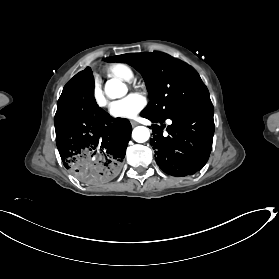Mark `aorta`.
<instances>
[{
  "label": "aorta",
  "instance_id": "obj_1",
  "mask_svg": "<svg viewBox=\"0 0 279 279\" xmlns=\"http://www.w3.org/2000/svg\"><path fill=\"white\" fill-rule=\"evenodd\" d=\"M105 93L111 99L121 98L126 95L128 89L124 83L118 79H110L105 84ZM133 139L138 143L146 142L150 137V132L147 127L138 126L132 131Z\"/></svg>",
  "mask_w": 279,
  "mask_h": 279
}]
</instances>
